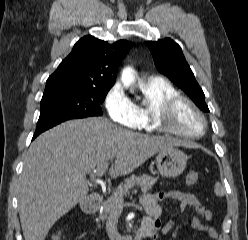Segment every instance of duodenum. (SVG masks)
I'll return each mask as SVG.
<instances>
[{"label": "duodenum", "instance_id": "1", "mask_svg": "<svg viewBox=\"0 0 248 240\" xmlns=\"http://www.w3.org/2000/svg\"><path fill=\"white\" fill-rule=\"evenodd\" d=\"M102 202L99 193H93L89 198H87L82 205V209L86 214L95 213ZM150 224L143 222L137 233L133 237H125L123 240H144L149 237L150 234Z\"/></svg>", "mask_w": 248, "mask_h": 240}]
</instances>
